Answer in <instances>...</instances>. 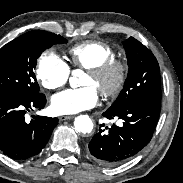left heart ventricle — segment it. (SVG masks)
Masks as SVG:
<instances>
[{
  "label": "left heart ventricle",
  "instance_id": "obj_1",
  "mask_svg": "<svg viewBox=\"0 0 183 183\" xmlns=\"http://www.w3.org/2000/svg\"><path fill=\"white\" fill-rule=\"evenodd\" d=\"M113 79V76H109L106 79L98 80L87 73L82 82V85L93 86L97 91H99L101 88L110 85L113 82Z\"/></svg>",
  "mask_w": 183,
  "mask_h": 183
}]
</instances>
